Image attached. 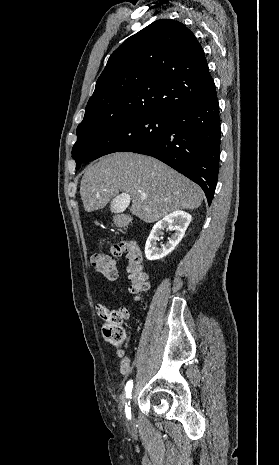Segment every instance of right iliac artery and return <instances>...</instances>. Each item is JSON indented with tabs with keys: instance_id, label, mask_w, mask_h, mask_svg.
I'll use <instances>...</instances> for the list:
<instances>
[{
	"instance_id": "obj_1",
	"label": "right iliac artery",
	"mask_w": 279,
	"mask_h": 465,
	"mask_svg": "<svg viewBox=\"0 0 279 465\" xmlns=\"http://www.w3.org/2000/svg\"><path fill=\"white\" fill-rule=\"evenodd\" d=\"M132 388H133V382L128 381L127 384H126V387H125V392H126V397L127 398H131ZM128 404H130V402ZM125 412H126L127 418L130 419L131 418V408L128 407L127 404H126Z\"/></svg>"
}]
</instances>
